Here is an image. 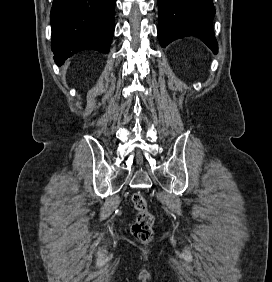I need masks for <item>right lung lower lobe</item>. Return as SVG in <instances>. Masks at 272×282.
<instances>
[{"instance_id": "obj_1", "label": "right lung lower lobe", "mask_w": 272, "mask_h": 282, "mask_svg": "<svg viewBox=\"0 0 272 282\" xmlns=\"http://www.w3.org/2000/svg\"><path fill=\"white\" fill-rule=\"evenodd\" d=\"M115 0H54L51 9L54 59L83 50L108 53L114 32Z\"/></svg>"}]
</instances>
